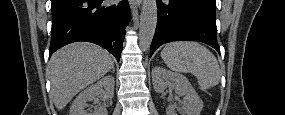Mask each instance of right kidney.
<instances>
[{
  "label": "right kidney",
  "mask_w": 285,
  "mask_h": 115,
  "mask_svg": "<svg viewBox=\"0 0 285 115\" xmlns=\"http://www.w3.org/2000/svg\"><path fill=\"white\" fill-rule=\"evenodd\" d=\"M100 94L104 102L114 97V78L112 76H105L97 83L83 90L73 101L70 115H108L106 104L97 107L94 113L85 110L87 101L94 100Z\"/></svg>",
  "instance_id": "1"
}]
</instances>
